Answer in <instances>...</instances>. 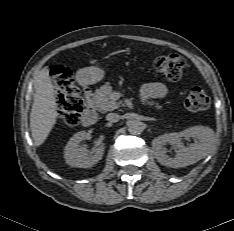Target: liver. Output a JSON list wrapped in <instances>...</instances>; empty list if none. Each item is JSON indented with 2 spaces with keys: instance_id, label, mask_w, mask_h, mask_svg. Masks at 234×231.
Wrapping results in <instances>:
<instances>
[{
  "instance_id": "obj_1",
  "label": "liver",
  "mask_w": 234,
  "mask_h": 231,
  "mask_svg": "<svg viewBox=\"0 0 234 231\" xmlns=\"http://www.w3.org/2000/svg\"><path fill=\"white\" fill-rule=\"evenodd\" d=\"M35 94L30 113V128L36 146L47 139L58 117V105L48 67L35 80Z\"/></svg>"
}]
</instances>
